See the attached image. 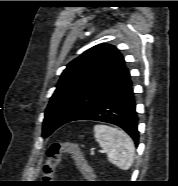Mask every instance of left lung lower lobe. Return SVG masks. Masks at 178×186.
<instances>
[{
  "mask_svg": "<svg viewBox=\"0 0 178 186\" xmlns=\"http://www.w3.org/2000/svg\"><path fill=\"white\" fill-rule=\"evenodd\" d=\"M74 120H94L117 125L138 144V117L131 80L85 109Z\"/></svg>",
  "mask_w": 178,
  "mask_h": 186,
  "instance_id": "0a47b994",
  "label": "left lung lower lobe"
}]
</instances>
